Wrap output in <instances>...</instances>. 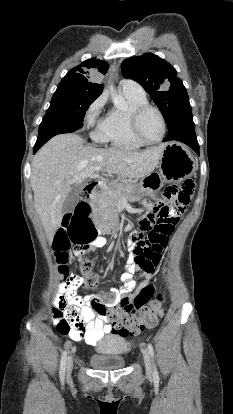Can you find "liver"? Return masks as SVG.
Returning <instances> with one entry per match:
<instances>
[{"label":"liver","instance_id":"6515ba94","mask_svg":"<svg viewBox=\"0 0 233 414\" xmlns=\"http://www.w3.org/2000/svg\"><path fill=\"white\" fill-rule=\"evenodd\" d=\"M166 144L143 151L101 149L85 145L74 133L51 138L34 156L30 183L34 206L48 239L61 226L62 206L74 184L102 167L125 178H143L154 171Z\"/></svg>","mask_w":233,"mask_h":414}]
</instances>
